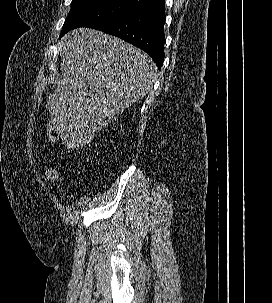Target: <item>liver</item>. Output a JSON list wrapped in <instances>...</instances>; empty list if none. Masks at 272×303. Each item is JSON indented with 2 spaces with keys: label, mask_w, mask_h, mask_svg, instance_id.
Returning <instances> with one entry per match:
<instances>
[{
  "label": "liver",
  "mask_w": 272,
  "mask_h": 303,
  "mask_svg": "<svg viewBox=\"0 0 272 303\" xmlns=\"http://www.w3.org/2000/svg\"><path fill=\"white\" fill-rule=\"evenodd\" d=\"M60 44L62 74L46 107L64 145L78 149L148 94L157 68L140 49L90 28L70 31Z\"/></svg>",
  "instance_id": "obj_1"
}]
</instances>
